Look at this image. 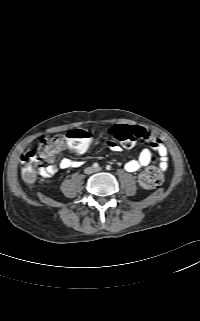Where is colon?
Here are the masks:
<instances>
[{
  "instance_id": "colon-1",
  "label": "colon",
  "mask_w": 200,
  "mask_h": 321,
  "mask_svg": "<svg viewBox=\"0 0 200 321\" xmlns=\"http://www.w3.org/2000/svg\"><path fill=\"white\" fill-rule=\"evenodd\" d=\"M109 135L123 146L132 147L140 138V131L129 125H115L109 129ZM90 133L84 129H72L63 136H54L42 140L36 151H27L22 158L23 179L31 183L43 161L53 157L62 146L84 155L90 143ZM163 181V173L158 166L152 165L139 176V183L145 189H153Z\"/></svg>"
}]
</instances>
